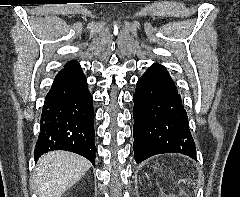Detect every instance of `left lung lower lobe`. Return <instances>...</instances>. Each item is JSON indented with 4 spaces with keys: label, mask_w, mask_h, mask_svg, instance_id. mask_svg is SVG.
Here are the masks:
<instances>
[{
    "label": "left lung lower lobe",
    "mask_w": 240,
    "mask_h": 197,
    "mask_svg": "<svg viewBox=\"0 0 240 197\" xmlns=\"http://www.w3.org/2000/svg\"><path fill=\"white\" fill-rule=\"evenodd\" d=\"M153 66L138 80L133 95L135 161L140 163L162 153H181L196 159L181 96L166 69Z\"/></svg>",
    "instance_id": "1"
}]
</instances>
